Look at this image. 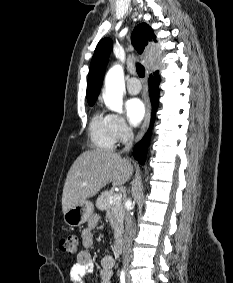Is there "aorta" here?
Masks as SVG:
<instances>
[{
	"label": "aorta",
	"mask_w": 233,
	"mask_h": 283,
	"mask_svg": "<svg viewBox=\"0 0 233 283\" xmlns=\"http://www.w3.org/2000/svg\"><path fill=\"white\" fill-rule=\"evenodd\" d=\"M125 90L124 72L121 65L116 64L106 74L105 92L103 99L105 105L112 111L123 112V92Z\"/></svg>",
	"instance_id": "1"
}]
</instances>
